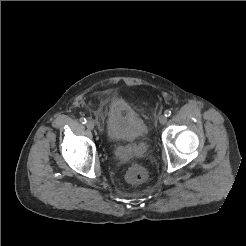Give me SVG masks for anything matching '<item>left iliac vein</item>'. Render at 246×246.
I'll list each match as a JSON object with an SVG mask.
<instances>
[{
  "label": "left iliac vein",
  "mask_w": 246,
  "mask_h": 246,
  "mask_svg": "<svg viewBox=\"0 0 246 246\" xmlns=\"http://www.w3.org/2000/svg\"><path fill=\"white\" fill-rule=\"evenodd\" d=\"M159 122H160L161 124H165V123L167 122V117H166L165 115H161V116L159 117Z\"/></svg>",
  "instance_id": "4c4485c4"
}]
</instances>
